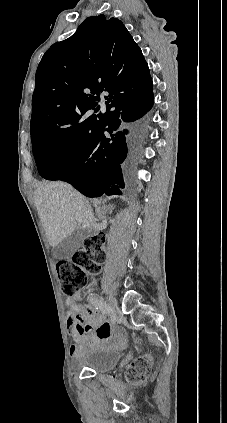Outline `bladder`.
<instances>
[{
	"label": "bladder",
	"instance_id": "bladder-1",
	"mask_svg": "<svg viewBox=\"0 0 227 423\" xmlns=\"http://www.w3.org/2000/svg\"><path fill=\"white\" fill-rule=\"evenodd\" d=\"M120 362L121 354L115 349L97 350L78 359L80 366L100 375L110 374Z\"/></svg>",
	"mask_w": 227,
	"mask_h": 423
}]
</instances>
